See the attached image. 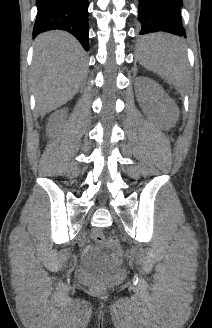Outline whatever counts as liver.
Wrapping results in <instances>:
<instances>
[{
	"instance_id": "6515ba94",
	"label": "liver",
	"mask_w": 212,
	"mask_h": 328,
	"mask_svg": "<svg viewBox=\"0 0 212 328\" xmlns=\"http://www.w3.org/2000/svg\"><path fill=\"white\" fill-rule=\"evenodd\" d=\"M86 75L85 53L71 34L50 31L36 38L32 85L42 117L73 98Z\"/></svg>"
}]
</instances>
